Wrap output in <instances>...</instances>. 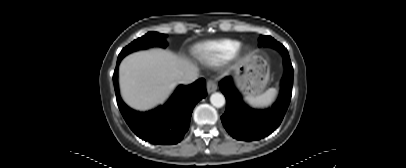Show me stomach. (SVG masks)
Masks as SVG:
<instances>
[{
    "label": "stomach",
    "instance_id": "1",
    "mask_svg": "<svg viewBox=\"0 0 406 168\" xmlns=\"http://www.w3.org/2000/svg\"><path fill=\"white\" fill-rule=\"evenodd\" d=\"M236 85L245 96L260 95L269 81V64L261 55L252 53L235 68Z\"/></svg>",
    "mask_w": 406,
    "mask_h": 168
}]
</instances>
